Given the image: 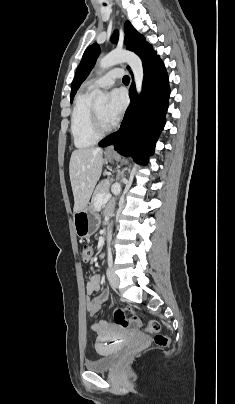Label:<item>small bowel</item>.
<instances>
[{
  "label": "small bowel",
  "mask_w": 235,
  "mask_h": 404,
  "mask_svg": "<svg viewBox=\"0 0 235 404\" xmlns=\"http://www.w3.org/2000/svg\"><path fill=\"white\" fill-rule=\"evenodd\" d=\"M101 287V277L94 274L90 277L89 282L86 286L87 294L91 295L100 290ZM107 299V294L105 292L101 293L98 297L94 299H89L87 301V310L91 316L98 314L102 308V305ZM92 330L97 333V345L102 342L107 341L111 338H116L120 335L119 328L114 324L107 322L105 320H97L93 322L91 326Z\"/></svg>",
  "instance_id": "1"
}]
</instances>
